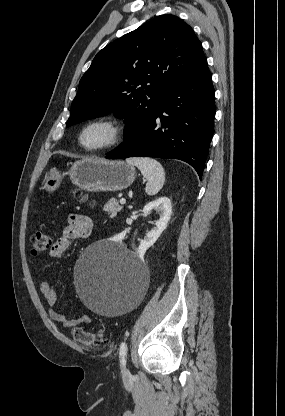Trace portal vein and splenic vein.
Here are the masks:
<instances>
[{
  "mask_svg": "<svg viewBox=\"0 0 285 416\" xmlns=\"http://www.w3.org/2000/svg\"><path fill=\"white\" fill-rule=\"evenodd\" d=\"M120 204H126V200H125V198H121V200H120Z\"/></svg>",
  "mask_w": 285,
  "mask_h": 416,
  "instance_id": "1",
  "label": "portal vein and splenic vein"
}]
</instances>
